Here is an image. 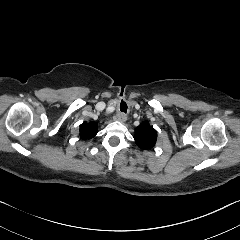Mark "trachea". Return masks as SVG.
Segmentation results:
<instances>
[{"label":"trachea","mask_w":240,"mask_h":240,"mask_svg":"<svg viewBox=\"0 0 240 240\" xmlns=\"http://www.w3.org/2000/svg\"><path fill=\"white\" fill-rule=\"evenodd\" d=\"M120 110L124 113L127 112V104L124 101H121Z\"/></svg>","instance_id":"1"}]
</instances>
